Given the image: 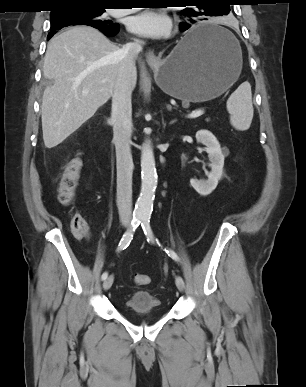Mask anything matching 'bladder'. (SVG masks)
<instances>
[{"instance_id": "1", "label": "bladder", "mask_w": 306, "mask_h": 387, "mask_svg": "<svg viewBox=\"0 0 306 387\" xmlns=\"http://www.w3.org/2000/svg\"><path fill=\"white\" fill-rule=\"evenodd\" d=\"M128 314L143 315L154 314L162 315L164 313L161 301L147 291H139L132 294L124 303Z\"/></svg>"}]
</instances>
